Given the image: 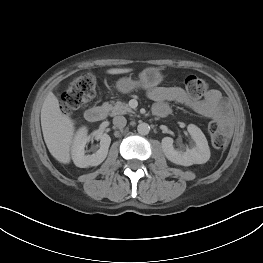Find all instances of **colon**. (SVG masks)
Here are the masks:
<instances>
[{"label": "colon", "instance_id": "colon-1", "mask_svg": "<svg viewBox=\"0 0 263 263\" xmlns=\"http://www.w3.org/2000/svg\"><path fill=\"white\" fill-rule=\"evenodd\" d=\"M185 89L192 98H201L208 90V83L203 78L190 75L185 79ZM96 93V80L91 74H83L75 78L61 96L62 109L72 113L84 107ZM208 131L211 143L216 149H223L228 144V136L217 121L209 124Z\"/></svg>", "mask_w": 263, "mask_h": 263}]
</instances>
